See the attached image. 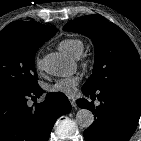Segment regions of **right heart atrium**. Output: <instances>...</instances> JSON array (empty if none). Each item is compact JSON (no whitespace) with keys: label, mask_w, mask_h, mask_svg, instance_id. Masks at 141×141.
<instances>
[{"label":"right heart atrium","mask_w":141,"mask_h":141,"mask_svg":"<svg viewBox=\"0 0 141 141\" xmlns=\"http://www.w3.org/2000/svg\"><path fill=\"white\" fill-rule=\"evenodd\" d=\"M35 66L38 70L42 69V60H41V57L39 55H37L36 58H35Z\"/></svg>","instance_id":"right-heart-atrium-1"}]
</instances>
